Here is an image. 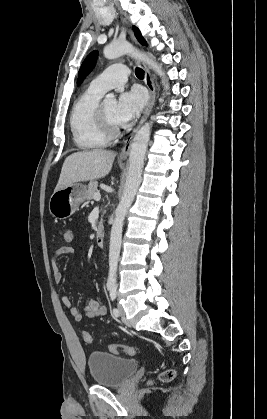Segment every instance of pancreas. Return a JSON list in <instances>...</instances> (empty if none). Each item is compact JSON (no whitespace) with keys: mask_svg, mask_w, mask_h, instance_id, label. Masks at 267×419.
Returning <instances> with one entry per match:
<instances>
[{"mask_svg":"<svg viewBox=\"0 0 267 419\" xmlns=\"http://www.w3.org/2000/svg\"><path fill=\"white\" fill-rule=\"evenodd\" d=\"M96 193H98V182L97 181H91L88 185L86 199L87 200L94 199V195Z\"/></svg>","mask_w":267,"mask_h":419,"instance_id":"pancreas-1","label":"pancreas"}]
</instances>
